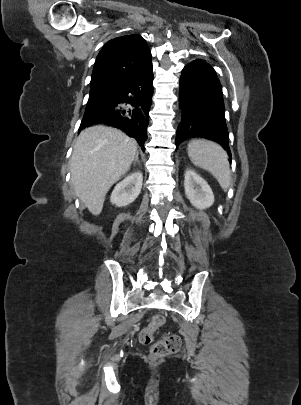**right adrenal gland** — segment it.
<instances>
[{"instance_id": "2a0ac1e0", "label": "right adrenal gland", "mask_w": 301, "mask_h": 405, "mask_svg": "<svg viewBox=\"0 0 301 405\" xmlns=\"http://www.w3.org/2000/svg\"><path fill=\"white\" fill-rule=\"evenodd\" d=\"M138 155H139V153H138V151H137V152H136V155H135V159H134V164H136V163L139 164Z\"/></svg>"}]
</instances>
